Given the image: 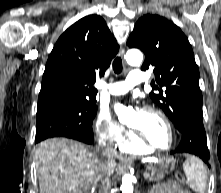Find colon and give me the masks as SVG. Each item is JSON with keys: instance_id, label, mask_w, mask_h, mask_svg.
<instances>
[{"instance_id": "5ec220e1", "label": "colon", "mask_w": 221, "mask_h": 193, "mask_svg": "<svg viewBox=\"0 0 221 193\" xmlns=\"http://www.w3.org/2000/svg\"><path fill=\"white\" fill-rule=\"evenodd\" d=\"M176 177H177V179L179 180V181H183V176H182V174L181 173H177L176 174Z\"/></svg>"}]
</instances>
